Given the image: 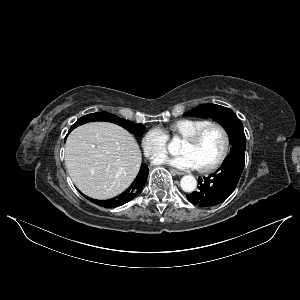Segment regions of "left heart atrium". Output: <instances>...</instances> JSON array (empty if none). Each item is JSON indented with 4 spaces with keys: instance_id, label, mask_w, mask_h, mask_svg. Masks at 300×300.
<instances>
[{
    "instance_id": "1",
    "label": "left heart atrium",
    "mask_w": 300,
    "mask_h": 300,
    "mask_svg": "<svg viewBox=\"0 0 300 300\" xmlns=\"http://www.w3.org/2000/svg\"><path fill=\"white\" fill-rule=\"evenodd\" d=\"M156 164H167L181 170H193L197 165L189 154H181L175 157L160 156L155 159Z\"/></svg>"
}]
</instances>
